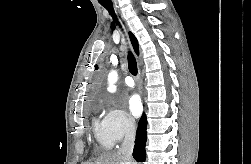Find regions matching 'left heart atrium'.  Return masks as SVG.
I'll use <instances>...</instances> for the list:
<instances>
[{
  "label": "left heart atrium",
  "instance_id": "obj_1",
  "mask_svg": "<svg viewBox=\"0 0 251 164\" xmlns=\"http://www.w3.org/2000/svg\"><path fill=\"white\" fill-rule=\"evenodd\" d=\"M128 108L131 114L138 117L142 112V103L138 94H132L128 99Z\"/></svg>",
  "mask_w": 251,
  "mask_h": 164
}]
</instances>
